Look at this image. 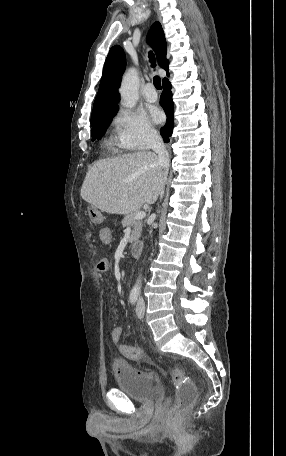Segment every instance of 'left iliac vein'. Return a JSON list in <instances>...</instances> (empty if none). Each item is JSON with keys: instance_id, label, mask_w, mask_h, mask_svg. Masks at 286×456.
I'll return each instance as SVG.
<instances>
[{"instance_id": "left-iliac-vein-1", "label": "left iliac vein", "mask_w": 286, "mask_h": 456, "mask_svg": "<svg viewBox=\"0 0 286 456\" xmlns=\"http://www.w3.org/2000/svg\"><path fill=\"white\" fill-rule=\"evenodd\" d=\"M145 313V301L143 298H139L136 305V314L139 318H142Z\"/></svg>"}]
</instances>
